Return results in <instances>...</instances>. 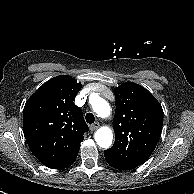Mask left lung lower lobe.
I'll use <instances>...</instances> for the list:
<instances>
[{"instance_id": "0a47b994", "label": "left lung lower lobe", "mask_w": 194, "mask_h": 194, "mask_svg": "<svg viewBox=\"0 0 194 194\" xmlns=\"http://www.w3.org/2000/svg\"><path fill=\"white\" fill-rule=\"evenodd\" d=\"M105 156V155H104ZM106 161L108 162L109 165H111L112 167L116 168V169H120V170H131L134 169L135 167L133 166H129L126 164H123L117 160L112 159L109 156H105Z\"/></svg>"}]
</instances>
